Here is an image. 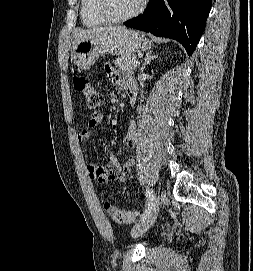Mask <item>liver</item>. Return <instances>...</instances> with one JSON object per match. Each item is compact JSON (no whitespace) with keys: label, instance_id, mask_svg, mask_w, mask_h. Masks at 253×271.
I'll use <instances>...</instances> for the list:
<instances>
[{"label":"liver","instance_id":"liver-1","mask_svg":"<svg viewBox=\"0 0 253 271\" xmlns=\"http://www.w3.org/2000/svg\"><path fill=\"white\" fill-rule=\"evenodd\" d=\"M125 29L124 27L121 26H115V27H100V28H93V29H88V30H82L79 31L77 33L74 34V43L82 38H86L87 36H89L90 34H94V33H101V32H108V31H115V30H122Z\"/></svg>","mask_w":253,"mask_h":271}]
</instances>
